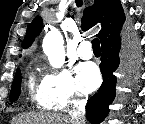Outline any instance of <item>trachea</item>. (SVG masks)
Here are the masks:
<instances>
[{
	"label": "trachea",
	"instance_id": "1",
	"mask_svg": "<svg viewBox=\"0 0 145 124\" xmlns=\"http://www.w3.org/2000/svg\"><path fill=\"white\" fill-rule=\"evenodd\" d=\"M76 4L78 7H80L82 5V1L77 0ZM92 48H93V51H100V42L98 38H95L92 40Z\"/></svg>",
	"mask_w": 145,
	"mask_h": 124
}]
</instances>
